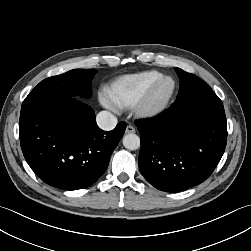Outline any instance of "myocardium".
Instances as JSON below:
<instances>
[{
	"label": "myocardium",
	"instance_id": "myocardium-1",
	"mask_svg": "<svg viewBox=\"0 0 251 251\" xmlns=\"http://www.w3.org/2000/svg\"><path fill=\"white\" fill-rule=\"evenodd\" d=\"M169 80L171 88L167 95L161 100H156L155 95L163 82ZM176 92V82L170 76H162L156 80L142 95L134 105V111L137 116L145 119L155 118L161 115L169 106Z\"/></svg>",
	"mask_w": 251,
	"mask_h": 251
}]
</instances>
